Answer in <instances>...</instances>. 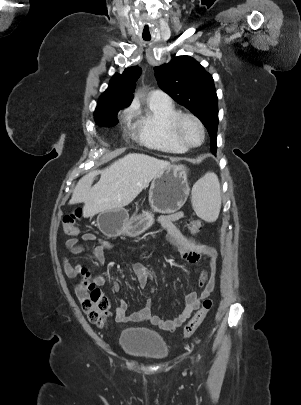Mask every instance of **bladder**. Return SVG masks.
I'll list each match as a JSON object with an SVG mask.
<instances>
[{
    "instance_id": "obj_1",
    "label": "bladder",
    "mask_w": 301,
    "mask_h": 405,
    "mask_svg": "<svg viewBox=\"0 0 301 405\" xmlns=\"http://www.w3.org/2000/svg\"><path fill=\"white\" fill-rule=\"evenodd\" d=\"M119 342L126 354L140 359L159 361L168 354L162 336L144 327H130L123 330Z\"/></svg>"
}]
</instances>
